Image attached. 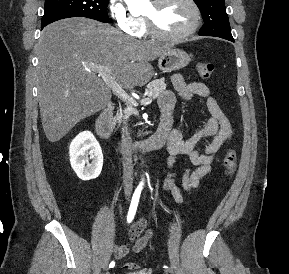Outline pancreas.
Listing matches in <instances>:
<instances>
[{
	"instance_id": "obj_1",
	"label": "pancreas",
	"mask_w": 289,
	"mask_h": 274,
	"mask_svg": "<svg viewBox=\"0 0 289 274\" xmlns=\"http://www.w3.org/2000/svg\"><path fill=\"white\" fill-rule=\"evenodd\" d=\"M166 87H167V85L165 84L164 78L156 79V80L150 82L147 85V89H146V90H149L148 97H151L154 99L158 98L166 90ZM126 105H127V108H125V110H124V113H125L124 118L125 119L129 118L133 114H136V109H135L136 104L135 103L126 101ZM122 117L123 116H122V113L120 110V113L117 115V120L120 121L122 119Z\"/></svg>"
}]
</instances>
